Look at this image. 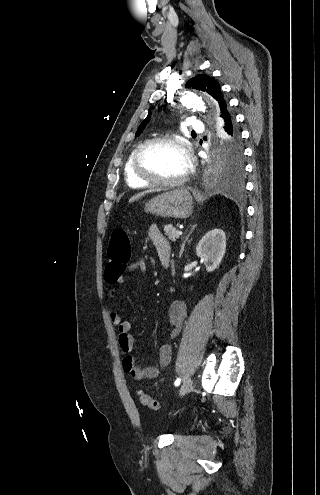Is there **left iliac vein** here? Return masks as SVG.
Listing matches in <instances>:
<instances>
[{
  "mask_svg": "<svg viewBox=\"0 0 320 495\" xmlns=\"http://www.w3.org/2000/svg\"><path fill=\"white\" fill-rule=\"evenodd\" d=\"M192 386H193L192 379L191 378L186 379L180 388L179 395L183 396V395L187 394L188 392H190V390L192 389Z\"/></svg>",
  "mask_w": 320,
  "mask_h": 495,
  "instance_id": "1",
  "label": "left iliac vein"
}]
</instances>
